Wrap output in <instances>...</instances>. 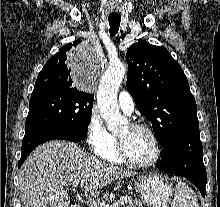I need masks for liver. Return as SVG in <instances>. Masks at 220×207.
I'll return each mask as SVG.
<instances>
[{
	"mask_svg": "<svg viewBox=\"0 0 220 207\" xmlns=\"http://www.w3.org/2000/svg\"><path fill=\"white\" fill-rule=\"evenodd\" d=\"M136 175L109 165L75 143L49 141L38 146L19 173L22 207H69L65 187L80 182L86 196H96L110 182Z\"/></svg>",
	"mask_w": 220,
	"mask_h": 207,
	"instance_id": "liver-1",
	"label": "liver"
}]
</instances>
